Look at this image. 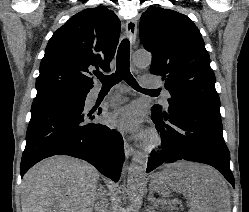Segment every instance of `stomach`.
<instances>
[{"instance_id": "stomach-1", "label": "stomach", "mask_w": 249, "mask_h": 212, "mask_svg": "<svg viewBox=\"0 0 249 212\" xmlns=\"http://www.w3.org/2000/svg\"><path fill=\"white\" fill-rule=\"evenodd\" d=\"M174 184H155V193H172Z\"/></svg>"}]
</instances>
